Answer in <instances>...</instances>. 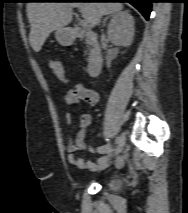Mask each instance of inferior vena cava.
Here are the masks:
<instances>
[{"instance_id": "1", "label": "inferior vena cava", "mask_w": 188, "mask_h": 213, "mask_svg": "<svg viewBox=\"0 0 188 213\" xmlns=\"http://www.w3.org/2000/svg\"><path fill=\"white\" fill-rule=\"evenodd\" d=\"M100 18H101V17H98V19H97V23H100Z\"/></svg>"}]
</instances>
